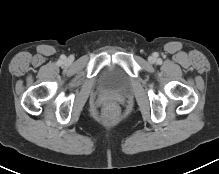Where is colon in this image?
<instances>
[{
    "label": "colon",
    "instance_id": "colon-1",
    "mask_svg": "<svg viewBox=\"0 0 219 174\" xmlns=\"http://www.w3.org/2000/svg\"><path fill=\"white\" fill-rule=\"evenodd\" d=\"M102 112L107 121L113 122L119 117L120 107L115 102H107L104 105Z\"/></svg>",
    "mask_w": 219,
    "mask_h": 174
}]
</instances>
